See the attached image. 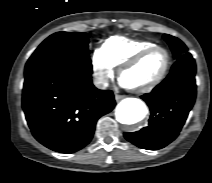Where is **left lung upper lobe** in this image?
Listing matches in <instances>:
<instances>
[{
    "instance_id": "5c2ea615",
    "label": "left lung upper lobe",
    "mask_w": 212,
    "mask_h": 183,
    "mask_svg": "<svg viewBox=\"0 0 212 183\" xmlns=\"http://www.w3.org/2000/svg\"><path fill=\"white\" fill-rule=\"evenodd\" d=\"M163 38L170 45L175 59H178L180 56L187 53V50H188L187 47L178 38L173 37V36L168 35V34H164Z\"/></svg>"
}]
</instances>
